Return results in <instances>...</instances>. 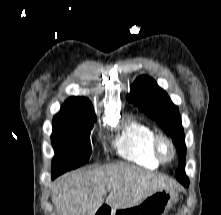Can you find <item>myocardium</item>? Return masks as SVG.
Here are the masks:
<instances>
[{"label": "myocardium", "mask_w": 221, "mask_h": 215, "mask_svg": "<svg viewBox=\"0 0 221 215\" xmlns=\"http://www.w3.org/2000/svg\"><path fill=\"white\" fill-rule=\"evenodd\" d=\"M152 150L155 158L160 163H169L175 157V148L169 137L158 134L152 141Z\"/></svg>", "instance_id": "f54148a6"}]
</instances>
